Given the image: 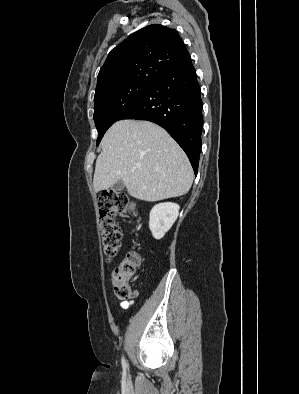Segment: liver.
<instances>
[{"mask_svg": "<svg viewBox=\"0 0 299 394\" xmlns=\"http://www.w3.org/2000/svg\"><path fill=\"white\" fill-rule=\"evenodd\" d=\"M101 147L93 178L96 192L122 180L132 197L154 202L184 195L193 183L184 151L149 121H117L105 133Z\"/></svg>", "mask_w": 299, "mask_h": 394, "instance_id": "liver-1", "label": "liver"}]
</instances>
